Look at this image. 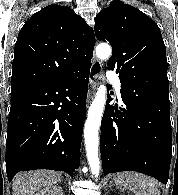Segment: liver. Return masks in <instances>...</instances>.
<instances>
[{
    "label": "liver",
    "mask_w": 178,
    "mask_h": 195,
    "mask_svg": "<svg viewBox=\"0 0 178 195\" xmlns=\"http://www.w3.org/2000/svg\"><path fill=\"white\" fill-rule=\"evenodd\" d=\"M61 182V173L49 170H37L19 173L12 183L13 195H34L41 188Z\"/></svg>",
    "instance_id": "6515ba94"
}]
</instances>
